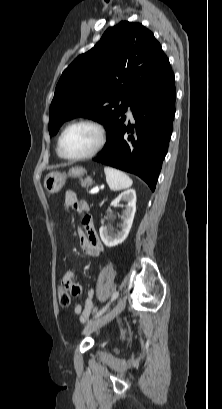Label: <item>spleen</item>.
<instances>
[{"label":"spleen","mask_w":222,"mask_h":409,"mask_svg":"<svg viewBox=\"0 0 222 409\" xmlns=\"http://www.w3.org/2000/svg\"><path fill=\"white\" fill-rule=\"evenodd\" d=\"M106 182L112 191H119L132 186L131 178L124 172L112 167H105Z\"/></svg>","instance_id":"1"}]
</instances>
